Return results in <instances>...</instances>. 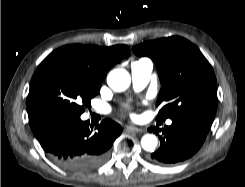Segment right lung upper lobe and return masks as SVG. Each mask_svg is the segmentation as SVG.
Wrapping results in <instances>:
<instances>
[{"instance_id": "right-lung-upper-lobe-1", "label": "right lung upper lobe", "mask_w": 245, "mask_h": 187, "mask_svg": "<svg viewBox=\"0 0 245 187\" xmlns=\"http://www.w3.org/2000/svg\"><path fill=\"white\" fill-rule=\"evenodd\" d=\"M81 63L98 82L103 81L107 71L122 58L131 54L128 46L98 47L93 45H66L57 50Z\"/></svg>"}]
</instances>
